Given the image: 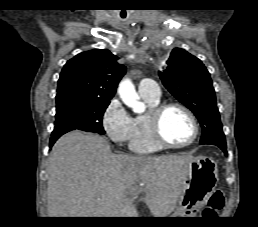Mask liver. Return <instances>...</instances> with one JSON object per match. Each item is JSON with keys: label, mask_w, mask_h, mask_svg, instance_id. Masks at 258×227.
Instances as JSON below:
<instances>
[{"label": "liver", "mask_w": 258, "mask_h": 227, "mask_svg": "<svg viewBox=\"0 0 258 227\" xmlns=\"http://www.w3.org/2000/svg\"><path fill=\"white\" fill-rule=\"evenodd\" d=\"M192 159L113 154L105 137L69 132L48 158V217H137L133 202L140 192L153 217H166L181 194L182 168Z\"/></svg>", "instance_id": "liver-1"}]
</instances>
